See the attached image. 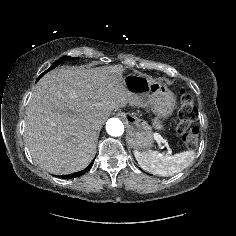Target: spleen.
Returning <instances> with one entry per match:
<instances>
[{"mask_svg": "<svg viewBox=\"0 0 236 236\" xmlns=\"http://www.w3.org/2000/svg\"><path fill=\"white\" fill-rule=\"evenodd\" d=\"M134 156L142 169L160 176H172L189 166L195 158V152L184 151L171 155L159 151L134 150Z\"/></svg>", "mask_w": 236, "mask_h": 236, "instance_id": "1", "label": "spleen"}]
</instances>
